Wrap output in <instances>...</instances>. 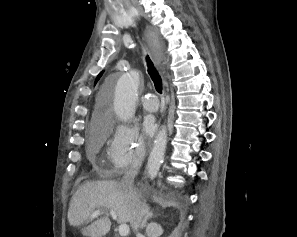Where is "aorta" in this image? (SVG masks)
Returning a JSON list of instances; mask_svg holds the SVG:
<instances>
[{"label":"aorta","mask_w":297,"mask_h":237,"mask_svg":"<svg viewBox=\"0 0 297 237\" xmlns=\"http://www.w3.org/2000/svg\"><path fill=\"white\" fill-rule=\"evenodd\" d=\"M140 74L133 70L123 74L115 88L114 111L121 121H129L135 114ZM166 128L163 127L156 136L148 160V175L155 178L164 159L166 149Z\"/></svg>","instance_id":"1"}]
</instances>
